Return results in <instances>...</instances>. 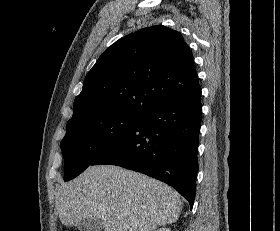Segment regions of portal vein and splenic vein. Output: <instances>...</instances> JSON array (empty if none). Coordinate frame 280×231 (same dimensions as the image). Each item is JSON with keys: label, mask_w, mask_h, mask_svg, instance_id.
I'll list each match as a JSON object with an SVG mask.
<instances>
[{"label": "portal vein and splenic vein", "mask_w": 280, "mask_h": 231, "mask_svg": "<svg viewBox=\"0 0 280 231\" xmlns=\"http://www.w3.org/2000/svg\"><path fill=\"white\" fill-rule=\"evenodd\" d=\"M122 215H124V211H122Z\"/></svg>", "instance_id": "1"}]
</instances>
